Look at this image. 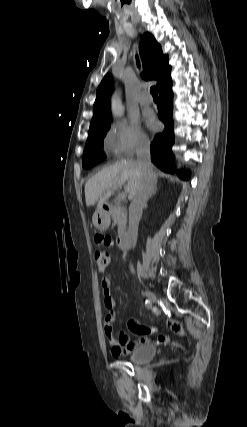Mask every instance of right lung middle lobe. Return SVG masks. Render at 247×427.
I'll list each match as a JSON object with an SVG mask.
<instances>
[{
    "mask_svg": "<svg viewBox=\"0 0 247 427\" xmlns=\"http://www.w3.org/2000/svg\"><path fill=\"white\" fill-rule=\"evenodd\" d=\"M111 120L92 128L88 132V138L83 153V167L88 169L106 158L103 149V137L110 127Z\"/></svg>",
    "mask_w": 247,
    "mask_h": 427,
    "instance_id": "1",
    "label": "right lung middle lobe"
}]
</instances>
